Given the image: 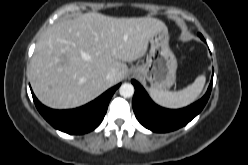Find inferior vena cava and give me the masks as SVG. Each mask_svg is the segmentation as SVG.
<instances>
[{
  "mask_svg": "<svg viewBox=\"0 0 248 165\" xmlns=\"http://www.w3.org/2000/svg\"><path fill=\"white\" fill-rule=\"evenodd\" d=\"M116 78V72L115 71H110L107 76H106V79L109 81V82H114Z\"/></svg>",
  "mask_w": 248,
  "mask_h": 165,
  "instance_id": "inferior-vena-cava-1",
  "label": "inferior vena cava"
}]
</instances>
